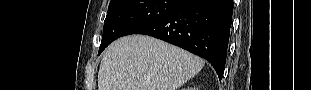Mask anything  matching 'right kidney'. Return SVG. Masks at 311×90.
I'll return each mask as SVG.
<instances>
[{"label": "right kidney", "instance_id": "obj_1", "mask_svg": "<svg viewBox=\"0 0 311 90\" xmlns=\"http://www.w3.org/2000/svg\"><path fill=\"white\" fill-rule=\"evenodd\" d=\"M188 90H195V88H188Z\"/></svg>", "mask_w": 311, "mask_h": 90}]
</instances>
